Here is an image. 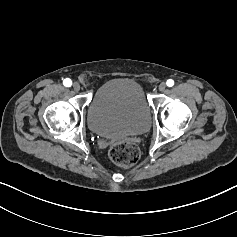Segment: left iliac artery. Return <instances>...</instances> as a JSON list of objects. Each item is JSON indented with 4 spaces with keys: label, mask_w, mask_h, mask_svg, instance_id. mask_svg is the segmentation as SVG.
<instances>
[{
    "label": "left iliac artery",
    "mask_w": 237,
    "mask_h": 237,
    "mask_svg": "<svg viewBox=\"0 0 237 237\" xmlns=\"http://www.w3.org/2000/svg\"><path fill=\"white\" fill-rule=\"evenodd\" d=\"M167 86L172 87L174 85V81L172 79L167 80Z\"/></svg>",
    "instance_id": "obj_1"
}]
</instances>
